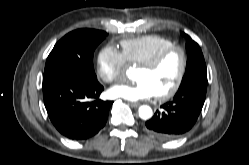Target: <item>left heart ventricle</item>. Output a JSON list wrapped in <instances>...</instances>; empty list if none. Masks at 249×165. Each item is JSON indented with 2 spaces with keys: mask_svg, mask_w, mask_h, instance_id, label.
<instances>
[{
  "mask_svg": "<svg viewBox=\"0 0 249 165\" xmlns=\"http://www.w3.org/2000/svg\"><path fill=\"white\" fill-rule=\"evenodd\" d=\"M180 65V55L178 52H174L154 71L138 67L134 72V78L146 81L152 87L155 94H159L168 90L173 85Z\"/></svg>",
  "mask_w": 249,
  "mask_h": 165,
  "instance_id": "left-heart-ventricle-1",
  "label": "left heart ventricle"
}]
</instances>
